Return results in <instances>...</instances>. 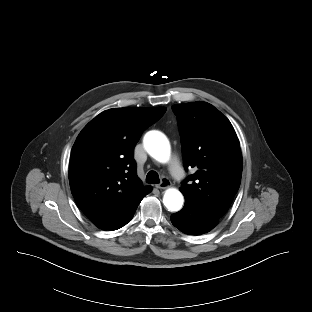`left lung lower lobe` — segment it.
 <instances>
[{"label":"left lung lower lobe","mask_w":312,"mask_h":312,"mask_svg":"<svg viewBox=\"0 0 312 312\" xmlns=\"http://www.w3.org/2000/svg\"><path fill=\"white\" fill-rule=\"evenodd\" d=\"M172 224L186 234L199 235L210 231L218 224V218L208 216L190 206L171 216Z\"/></svg>","instance_id":"0a47b994"}]
</instances>
